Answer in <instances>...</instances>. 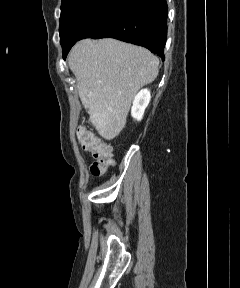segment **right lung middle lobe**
Returning a JSON list of instances; mask_svg holds the SVG:
<instances>
[{"label": "right lung middle lobe", "mask_w": 240, "mask_h": 288, "mask_svg": "<svg viewBox=\"0 0 240 288\" xmlns=\"http://www.w3.org/2000/svg\"><path fill=\"white\" fill-rule=\"evenodd\" d=\"M115 0H62L60 16V43L65 49L73 46L84 31Z\"/></svg>", "instance_id": "obj_1"}]
</instances>
